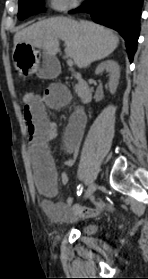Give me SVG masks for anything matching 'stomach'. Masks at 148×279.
Segmentation results:
<instances>
[{"label":"stomach","mask_w":148,"mask_h":279,"mask_svg":"<svg viewBox=\"0 0 148 279\" xmlns=\"http://www.w3.org/2000/svg\"><path fill=\"white\" fill-rule=\"evenodd\" d=\"M13 59L16 69L25 75L52 78L59 71V63L55 57L25 43H19L15 46Z\"/></svg>","instance_id":"0dacf381"}]
</instances>
